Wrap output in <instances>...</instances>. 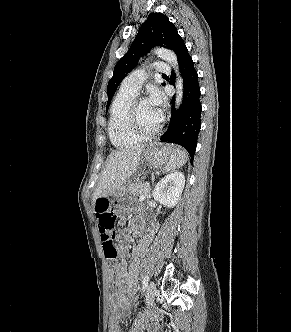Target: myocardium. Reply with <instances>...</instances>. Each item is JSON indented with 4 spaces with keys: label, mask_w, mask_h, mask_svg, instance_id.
<instances>
[{
    "label": "myocardium",
    "mask_w": 291,
    "mask_h": 332,
    "mask_svg": "<svg viewBox=\"0 0 291 332\" xmlns=\"http://www.w3.org/2000/svg\"><path fill=\"white\" fill-rule=\"evenodd\" d=\"M144 98H135L131 105H130V109H129V127L131 129V131L138 137L142 138V139H148V138H152L156 135H158L163 127L162 124V119L159 123V125L150 131L144 130L139 123V118H138V106L139 103L141 101H144Z\"/></svg>",
    "instance_id": "myocardium-1"
}]
</instances>
